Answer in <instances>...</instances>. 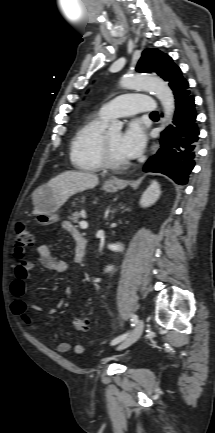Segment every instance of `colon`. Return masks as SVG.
<instances>
[{
	"mask_svg": "<svg viewBox=\"0 0 215 433\" xmlns=\"http://www.w3.org/2000/svg\"><path fill=\"white\" fill-rule=\"evenodd\" d=\"M16 256L21 258L24 256V248L34 243V233L32 229L24 223L17 224L14 236ZM74 327L79 332H87L90 328L89 321L82 318L74 320Z\"/></svg>",
	"mask_w": 215,
	"mask_h": 433,
	"instance_id": "colon-1",
	"label": "colon"
}]
</instances>
